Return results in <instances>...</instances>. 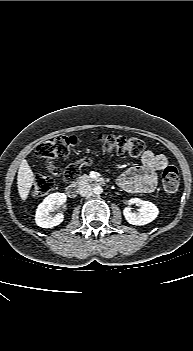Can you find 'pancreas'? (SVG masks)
<instances>
[{
    "label": "pancreas",
    "mask_w": 193,
    "mask_h": 351,
    "mask_svg": "<svg viewBox=\"0 0 193 351\" xmlns=\"http://www.w3.org/2000/svg\"><path fill=\"white\" fill-rule=\"evenodd\" d=\"M89 180H90V178L86 174L79 177V182L89 181Z\"/></svg>",
    "instance_id": "pancreas-1"
}]
</instances>
